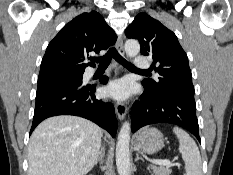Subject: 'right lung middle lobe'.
<instances>
[{
  "mask_svg": "<svg viewBox=\"0 0 233 175\" xmlns=\"http://www.w3.org/2000/svg\"><path fill=\"white\" fill-rule=\"evenodd\" d=\"M82 75L83 73L56 75V76L38 78L37 91H40V90H43L45 88L52 87V86L81 84Z\"/></svg>",
  "mask_w": 233,
  "mask_h": 175,
  "instance_id": "right-lung-middle-lobe-1",
  "label": "right lung middle lobe"
}]
</instances>
